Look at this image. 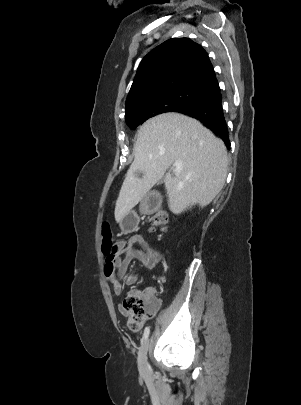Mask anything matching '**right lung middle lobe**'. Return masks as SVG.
Wrapping results in <instances>:
<instances>
[{
	"label": "right lung middle lobe",
	"mask_w": 301,
	"mask_h": 405,
	"mask_svg": "<svg viewBox=\"0 0 301 405\" xmlns=\"http://www.w3.org/2000/svg\"><path fill=\"white\" fill-rule=\"evenodd\" d=\"M211 97L210 93L189 87L165 90L139 100L133 108L125 113L126 123L131 129H135L153 116L203 103Z\"/></svg>",
	"instance_id": "1"
}]
</instances>
